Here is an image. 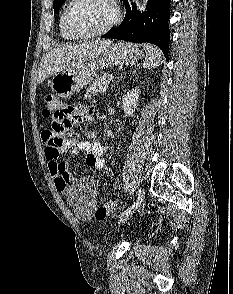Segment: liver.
Listing matches in <instances>:
<instances>
[{
	"label": "liver",
	"instance_id": "obj_1",
	"mask_svg": "<svg viewBox=\"0 0 233 294\" xmlns=\"http://www.w3.org/2000/svg\"><path fill=\"white\" fill-rule=\"evenodd\" d=\"M111 41H89L79 44L63 45L54 48L43 58L38 71L37 83L61 71L83 64L105 52Z\"/></svg>",
	"mask_w": 233,
	"mask_h": 294
}]
</instances>
